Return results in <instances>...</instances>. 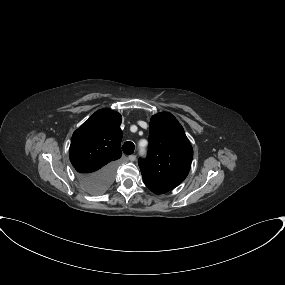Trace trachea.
<instances>
[{
  "mask_svg": "<svg viewBox=\"0 0 285 285\" xmlns=\"http://www.w3.org/2000/svg\"><path fill=\"white\" fill-rule=\"evenodd\" d=\"M135 145L131 141H127L123 144L122 150L125 154L131 155L134 152Z\"/></svg>",
  "mask_w": 285,
  "mask_h": 285,
  "instance_id": "3493384b",
  "label": "trachea"
}]
</instances>
